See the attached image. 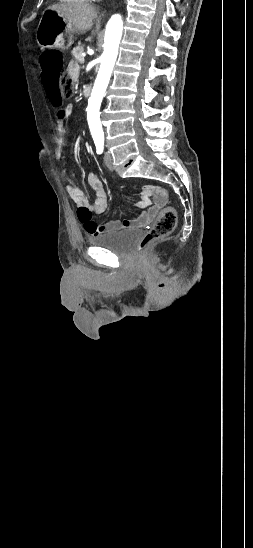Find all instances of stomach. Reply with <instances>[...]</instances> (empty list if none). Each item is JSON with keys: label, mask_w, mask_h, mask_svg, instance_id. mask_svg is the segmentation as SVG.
<instances>
[{"label": "stomach", "mask_w": 253, "mask_h": 548, "mask_svg": "<svg viewBox=\"0 0 253 548\" xmlns=\"http://www.w3.org/2000/svg\"><path fill=\"white\" fill-rule=\"evenodd\" d=\"M36 41L41 49L67 50L73 44V36L63 17L46 10L38 24Z\"/></svg>", "instance_id": "0dacf381"}]
</instances>
